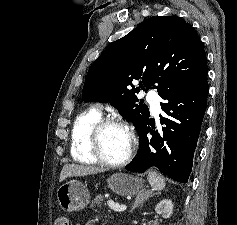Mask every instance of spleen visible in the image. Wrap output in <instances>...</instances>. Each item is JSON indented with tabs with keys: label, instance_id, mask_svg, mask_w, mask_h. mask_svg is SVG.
<instances>
[{
	"label": "spleen",
	"instance_id": "3e777b00",
	"mask_svg": "<svg viewBox=\"0 0 237 225\" xmlns=\"http://www.w3.org/2000/svg\"><path fill=\"white\" fill-rule=\"evenodd\" d=\"M148 181L151 187L155 190H162L165 187L163 178L157 172H149Z\"/></svg>",
	"mask_w": 237,
	"mask_h": 225
}]
</instances>
